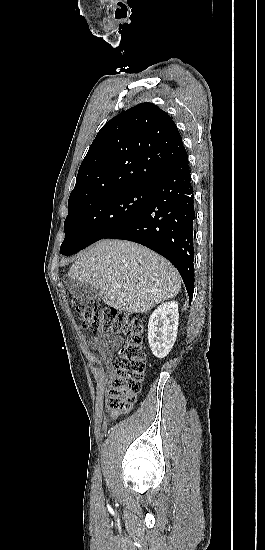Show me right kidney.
<instances>
[{"mask_svg": "<svg viewBox=\"0 0 265 550\" xmlns=\"http://www.w3.org/2000/svg\"><path fill=\"white\" fill-rule=\"evenodd\" d=\"M178 320V303L175 301L161 304L151 314L148 341L157 358H164L171 351L177 337Z\"/></svg>", "mask_w": 265, "mask_h": 550, "instance_id": "right-kidney-1", "label": "right kidney"}]
</instances>
